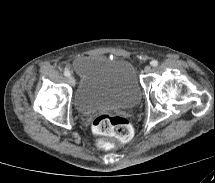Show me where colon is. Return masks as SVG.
Here are the masks:
<instances>
[{
    "label": "colon",
    "mask_w": 215,
    "mask_h": 183,
    "mask_svg": "<svg viewBox=\"0 0 215 183\" xmlns=\"http://www.w3.org/2000/svg\"><path fill=\"white\" fill-rule=\"evenodd\" d=\"M93 132L98 136L96 144L99 148H107L105 137H116L121 141H128L132 137V128L129 121L112 114H101L92 123Z\"/></svg>",
    "instance_id": "colon-1"
}]
</instances>
